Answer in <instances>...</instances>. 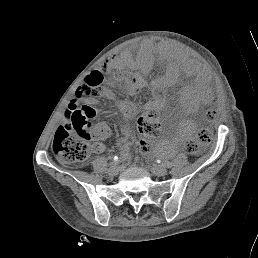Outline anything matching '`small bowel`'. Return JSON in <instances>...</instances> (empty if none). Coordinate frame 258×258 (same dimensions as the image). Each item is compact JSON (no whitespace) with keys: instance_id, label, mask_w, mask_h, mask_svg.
<instances>
[{"instance_id":"obj_1","label":"small bowel","mask_w":258,"mask_h":258,"mask_svg":"<svg viewBox=\"0 0 258 258\" xmlns=\"http://www.w3.org/2000/svg\"><path fill=\"white\" fill-rule=\"evenodd\" d=\"M85 110L87 111L88 115H90V116L94 115L93 114L94 111L90 107H86ZM102 129L103 128H101V127L96 128V130H97V133L95 135L96 139H101L102 140V139H104L106 137L105 134H103V132H101ZM95 146L98 149H103V144H101V143H96Z\"/></svg>"}]
</instances>
